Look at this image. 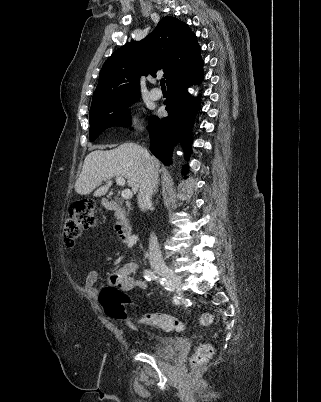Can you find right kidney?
I'll use <instances>...</instances> for the list:
<instances>
[{"label":"right kidney","mask_w":321,"mask_h":402,"mask_svg":"<svg viewBox=\"0 0 321 402\" xmlns=\"http://www.w3.org/2000/svg\"><path fill=\"white\" fill-rule=\"evenodd\" d=\"M138 240V236L133 235L128 242V247H132L134 244H136Z\"/></svg>","instance_id":"1"}]
</instances>
